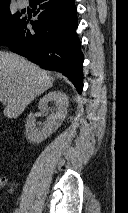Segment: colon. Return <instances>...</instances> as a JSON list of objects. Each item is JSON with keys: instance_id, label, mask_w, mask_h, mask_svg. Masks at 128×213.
I'll list each match as a JSON object with an SVG mask.
<instances>
[{"instance_id": "colon-1", "label": "colon", "mask_w": 128, "mask_h": 213, "mask_svg": "<svg viewBox=\"0 0 128 213\" xmlns=\"http://www.w3.org/2000/svg\"><path fill=\"white\" fill-rule=\"evenodd\" d=\"M5 182V179L0 178V184H3Z\"/></svg>"}]
</instances>
